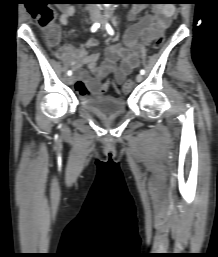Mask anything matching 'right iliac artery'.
<instances>
[{
	"mask_svg": "<svg viewBox=\"0 0 218 257\" xmlns=\"http://www.w3.org/2000/svg\"><path fill=\"white\" fill-rule=\"evenodd\" d=\"M100 24L98 22L94 23L91 27V32H95L97 31V29L99 28ZM67 75L68 76H71L72 75V71L71 70H68L67 72Z\"/></svg>",
	"mask_w": 218,
	"mask_h": 257,
	"instance_id": "1",
	"label": "right iliac artery"
}]
</instances>
